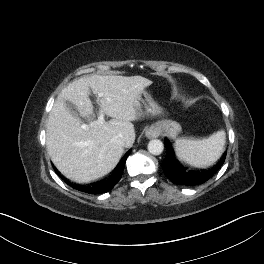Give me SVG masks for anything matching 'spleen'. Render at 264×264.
<instances>
[{
  "label": "spleen",
  "instance_id": "obj_1",
  "mask_svg": "<svg viewBox=\"0 0 264 264\" xmlns=\"http://www.w3.org/2000/svg\"><path fill=\"white\" fill-rule=\"evenodd\" d=\"M226 134L220 130L202 140L177 139L175 150L179 158L191 166L204 168L214 164L222 155Z\"/></svg>",
  "mask_w": 264,
  "mask_h": 264
}]
</instances>
